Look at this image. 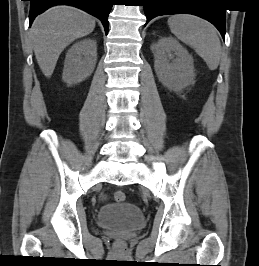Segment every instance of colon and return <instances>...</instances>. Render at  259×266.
Masks as SVG:
<instances>
[{"label": "colon", "mask_w": 259, "mask_h": 266, "mask_svg": "<svg viewBox=\"0 0 259 266\" xmlns=\"http://www.w3.org/2000/svg\"><path fill=\"white\" fill-rule=\"evenodd\" d=\"M126 198V195L123 191H116L115 194H114V200L118 203H121L125 200ZM117 247L118 248H123V244L121 242H118L117 243Z\"/></svg>", "instance_id": "obj_1"}]
</instances>
